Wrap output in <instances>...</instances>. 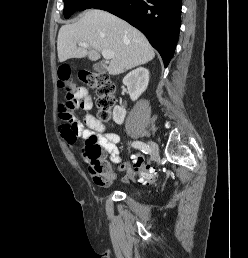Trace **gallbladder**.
<instances>
[{
  "instance_id": "bac80fb5",
  "label": "gallbladder",
  "mask_w": 248,
  "mask_h": 258,
  "mask_svg": "<svg viewBox=\"0 0 248 258\" xmlns=\"http://www.w3.org/2000/svg\"><path fill=\"white\" fill-rule=\"evenodd\" d=\"M93 69L96 71V72H99V73H105L106 72V65L103 64V63H97L93 66Z\"/></svg>"
}]
</instances>
